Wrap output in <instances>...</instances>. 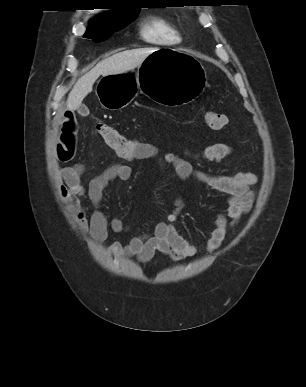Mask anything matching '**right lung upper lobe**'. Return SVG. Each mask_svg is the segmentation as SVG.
Returning a JSON list of instances; mask_svg holds the SVG:
<instances>
[{"mask_svg": "<svg viewBox=\"0 0 306 387\" xmlns=\"http://www.w3.org/2000/svg\"><path fill=\"white\" fill-rule=\"evenodd\" d=\"M133 9H139L140 10V8H116L113 11H111L110 13L104 14L102 16H99V17L93 19L91 22H96V23L107 22L111 18L116 17L119 13H122V12H125V11H129V10H133Z\"/></svg>", "mask_w": 306, "mask_h": 387, "instance_id": "obj_1", "label": "right lung upper lobe"}]
</instances>
